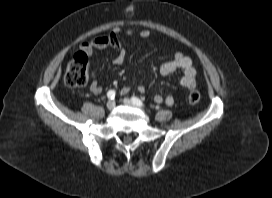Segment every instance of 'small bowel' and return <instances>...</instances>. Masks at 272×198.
Listing matches in <instances>:
<instances>
[{"instance_id":"c3829d8e","label":"small bowel","mask_w":272,"mask_h":198,"mask_svg":"<svg viewBox=\"0 0 272 198\" xmlns=\"http://www.w3.org/2000/svg\"><path fill=\"white\" fill-rule=\"evenodd\" d=\"M120 33V28H114L106 35H100L90 41L83 42L80 45V49L88 56H92L94 51L97 49L112 47L117 51V54L113 59V63L115 65H121L125 61L126 50L118 39ZM126 33L131 34L132 31L127 30ZM139 36L142 38H148L150 36V31L142 30L140 31ZM178 69L182 70L183 72V75L179 81L180 85L189 90L194 89L196 86L197 71L193 66L192 59L181 52L176 53L172 60L162 63L159 67V72L161 75H169ZM137 89L141 93L145 92L146 90L144 85H139ZM90 90L93 94L98 95L102 92V86L97 81H94L90 86ZM129 90V87H124L121 92L126 94ZM154 100L156 103H164L167 106H172L174 103V99L171 95H156Z\"/></svg>"}]
</instances>
